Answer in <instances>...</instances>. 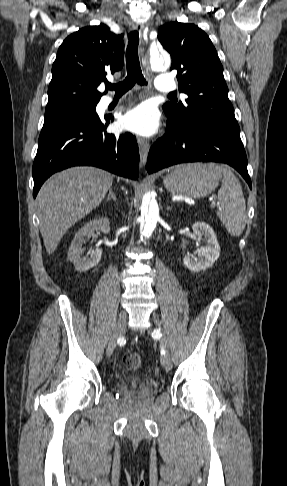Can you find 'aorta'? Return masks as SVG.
<instances>
[{"label":"aorta","instance_id":"762f6f07","mask_svg":"<svg viewBox=\"0 0 287 486\" xmlns=\"http://www.w3.org/2000/svg\"><path fill=\"white\" fill-rule=\"evenodd\" d=\"M170 65V57L168 55H160L153 53L150 55V66L152 70L159 71L164 67ZM159 220V207L155 198L151 200H143L141 204V240L150 238L154 232L157 222Z\"/></svg>","mask_w":287,"mask_h":486}]
</instances>
